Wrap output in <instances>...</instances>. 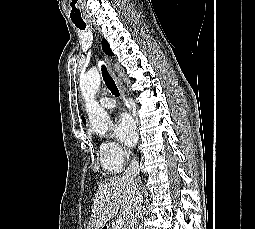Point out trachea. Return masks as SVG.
<instances>
[{"label": "trachea", "mask_w": 255, "mask_h": 229, "mask_svg": "<svg viewBox=\"0 0 255 229\" xmlns=\"http://www.w3.org/2000/svg\"><path fill=\"white\" fill-rule=\"evenodd\" d=\"M76 27H78L81 30H84L86 28V24L85 23H75ZM101 71H102V76H103V80L106 84V86L108 87V89L111 91V93L115 96H119V90L115 84V81L113 80V78L111 77V75L109 74L107 68L105 65L101 66Z\"/></svg>", "instance_id": "trachea-1"}]
</instances>
